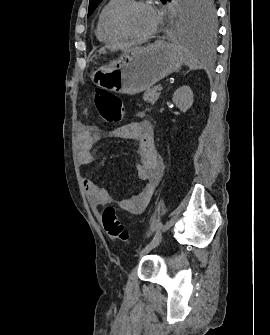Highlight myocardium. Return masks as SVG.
I'll return each mask as SVG.
<instances>
[{
    "instance_id": "1",
    "label": "myocardium",
    "mask_w": 270,
    "mask_h": 335,
    "mask_svg": "<svg viewBox=\"0 0 270 335\" xmlns=\"http://www.w3.org/2000/svg\"><path fill=\"white\" fill-rule=\"evenodd\" d=\"M134 7H143V4L138 1L127 2L121 7H119L112 18V24L115 31L125 38L139 39L145 38L148 36V33L142 35H136L131 33L125 26V16L128 11ZM140 78H149V77H140Z\"/></svg>"
}]
</instances>
